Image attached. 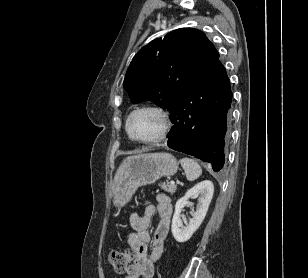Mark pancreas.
Wrapping results in <instances>:
<instances>
[{
	"label": "pancreas",
	"mask_w": 308,
	"mask_h": 278,
	"mask_svg": "<svg viewBox=\"0 0 308 278\" xmlns=\"http://www.w3.org/2000/svg\"><path fill=\"white\" fill-rule=\"evenodd\" d=\"M160 186L164 191L171 193V194H174L176 192V189H177L176 185H171V184L169 185V184H166V183H161Z\"/></svg>",
	"instance_id": "cf45deb5"
}]
</instances>
